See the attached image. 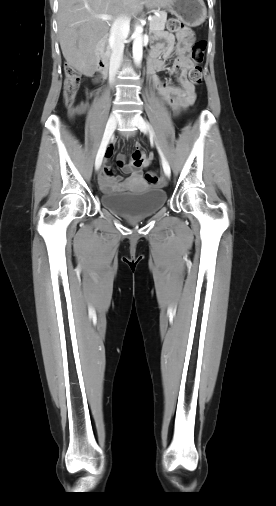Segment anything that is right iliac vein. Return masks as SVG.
Returning <instances> with one entry per match:
<instances>
[{
    "instance_id": "1",
    "label": "right iliac vein",
    "mask_w": 276,
    "mask_h": 506,
    "mask_svg": "<svg viewBox=\"0 0 276 506\" xmlns=\"http://www.w3.org/2000/svg\"><path fill=\"white\" fill-rule=\"evenodd\" d=\"M116 124H117V118H116V116L114 114H111L110 117H109V119H108V122H107V125H106V129H105V132H104V135H103V139H102L100 148H99L97 156H96V161H98L99 159L103 158L104 152H105V149H106V145H107V143H108L111 135L113 134V132L115 130ZM98 169H99V167L96 168V170H98Z\"/></svg>"
}]
</instances>
